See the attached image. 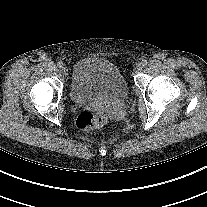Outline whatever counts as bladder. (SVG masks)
<instances>
[{
    "label": "bladder",
    "instance_id": "31cf9c89",
    "mask_svg": "<svg viewBox=\"0 0 207 207\" xmlns=\"http://www.w3.org/2000/svg\"><path fill=\"white\" fill-rule=\"evenodd\" d=\"M129 85L120 69L103 58L87 57L79 60L73 69L70 94L74 102L123 99Z\"/></svg>",
    "mask_w": 207,
    "mask_h": 207
}]
</instances>
